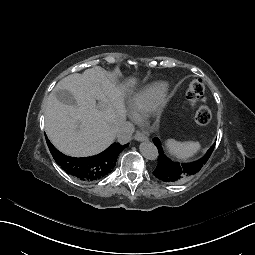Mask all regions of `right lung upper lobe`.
<instances>
[{
	"label": "right lung upper lobe",
	"instance_id": "cb5924a9",
	"mask_svg": "<svg viewBox=\"0 0 255 255\" xmlns=\"http://www.w3.org/2000/svg\"><path fill=\"white\" fill-rule=\"evenodd\" d=\"M47 144L56 163L60 165L61 168L66 171V173L73 175L83 181H86L83 179L84 161L91 160L93 161V163H96L98 165V168L94 170V179L91 181L99 180L108 175L114 169L118 155L124 148H126V145L114 143L98 155L91 157L75 158L66 156L63 153L59 152L48 140Z\"/></svg>",
	"mask_w": 255,
	"mask_h": 255
}]
</instances>
